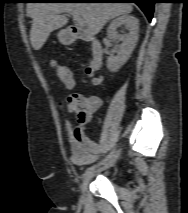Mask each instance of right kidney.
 Wrapping results in <instances>:
<instances>
[{
  "label": "right kidney",
  "mask_w": 188,
  "mask_h": 213,
  "mask_svg": "<svg viewBox=\"0 0 188 213\" xmlns=\"http://www.w3.org/2000/svg\"><path fill=\"white\" fill-rule=\"evenodd\" d=\"M125 26L128 33L119 35L117 29ZM139 20L130 15H121L110 23L107 29V36L111 40L121 41V45L117 50V56H110L107 59V68L110 72L117 71L130 58L136 43L138 41Z\"/></svg>",
  "instance_id": "right-kidney-1"
}]
</instances>
